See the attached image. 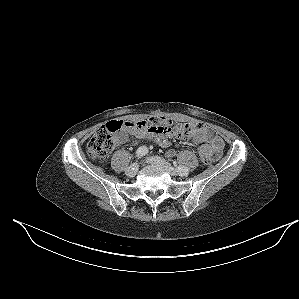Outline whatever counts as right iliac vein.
Listing matches in <instances>:
<instances>
[{
	"label": "right iliac vein",
	"mask_w": 299,
	"mask_h": 299,
	"mask_svg": "<svg viewBox=\"0 0 299 299\" xmlns=\"http://www.w3.org/2000/svg\"><path fill=\"white\" fill-rule=\"evenodd\" d=\"M137 171H138V164L134 163L126 170V175L129 177H134L137 174Z\"/></svg>",
	"instance_id": "obj_1"
}]
</instances>
